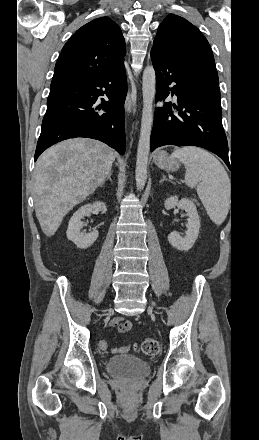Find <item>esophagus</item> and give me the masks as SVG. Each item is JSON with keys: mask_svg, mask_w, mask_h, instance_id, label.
<instances>
[{"mask_svg": "<svg viewBox=\"0 0 259 440\" xmlns=\"http://www.w3.org/2000/svg\"><path fill=\"white\" fill-rule=\"evenodd\" d=\"M133 108H134V99L132 98L131 94L128 93L125 101V110L128 114H130Z\"/></svg>", "mask_w": 259, "mask_h": 440, "instance_id": "34e87169", "label": "esophagus"}]
</instances>
